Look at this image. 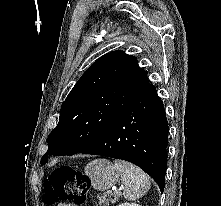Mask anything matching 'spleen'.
<instances>
[{
  "instance_id": "obj_1",
  "label": "spleen",
  "mask_w": 221,
  "mask_h": 206,
  "mask_svg": "<svg viewBox=\"0 0 221 206\" xmlns=\"http://www.w3.org/2000/svg\"><path fill=\"white\" fill-rule=\"evenodd\" d=\"M119 170L124 185L123 196L127 200H136L145 195L150 189L148 176L135 165L122 160L114 161Z\"/></svg>"
}]
</instances>
